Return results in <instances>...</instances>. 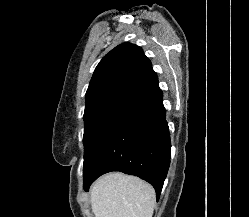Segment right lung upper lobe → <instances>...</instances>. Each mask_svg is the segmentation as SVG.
Listing matches in <instances>:
<instances>
[{
	"mask_svg": "<svg viewBox=\"0 0 249 217\" xmlns=\"http://www.w3.org/2000/svg\"><path fill=\"white\" fill-rule=\"evenodd\" d=\"M153 71L143 50L125 42L112 49L97 65L86 101L108 92H126Z\"/></svg>",
	"mask_w": 249,
	"mask_h": 217,
	"instance_id": "right-lung-upper-lobe-1",
	"label": "right lung upper lobe"
}]
</instances>
